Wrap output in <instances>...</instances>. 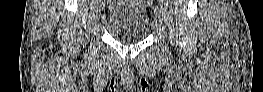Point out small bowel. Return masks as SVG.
Wrapping results in <instances>:
<instances>
[{"label": "small bowel", "instance_id": "1", "mask_svg": "<svg viewBox=\"0 0 263 92\" xmlns=\"http://www.w3.org/2000/svg\"><path fill=\"white\" fill-rule=\"evenodd\" d=\"M143 4H147V3H149V2H147V1H141Z\"/></svg>", "mask_w": 263, "mask_h": 92}]
</instances>
